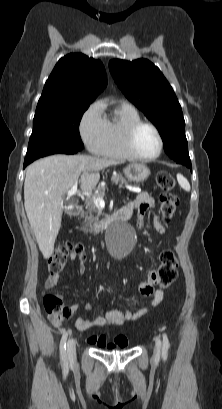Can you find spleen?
Masks as SVG:
<instances>
[{
	"mask_svg": "<svg viewBox=\"0 0 222 409\" xmlns=\"http://www.w3.org/2000/svg\"><path fill=\"white\" fill-rule=\"evenodd\" d=\"M177 181L185 191H190V184L183 175L177 174Z\"/></svg>",
	"mask_w": 222,
	"mask_h": 409,
	"instance_id": "spleen-1",
	"label": "spleen"
}]
</instances>
